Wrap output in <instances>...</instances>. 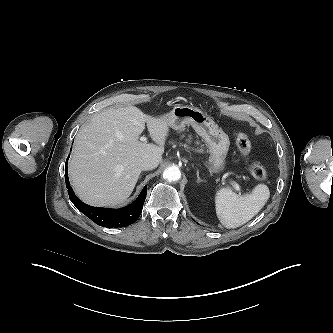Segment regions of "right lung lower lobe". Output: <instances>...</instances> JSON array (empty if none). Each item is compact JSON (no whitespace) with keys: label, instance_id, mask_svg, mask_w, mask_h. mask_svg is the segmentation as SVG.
<instances>
[{"label":"right lung lower lobe","instance_id":"98d812e1","mask_svg":"<svg viewBox=\"0 0 333 333\" xmlns=\"http://www.w3.org/2000/svg\"><path fill=\"white\" fill-rule=\"evenodd\" d=\"M69 158V156H68ZM68 160V159H67ZM65 182L68 189L69 198L76 208L103 227H124L133 224L140 216L146 199L147 189L143 188L137 199L130 205L121 209L97 208L83 203L73 192L70 186L67 172V161L65 165Z\"/></svg>","mask_w":333,"mask_h":333}]
</instances>
